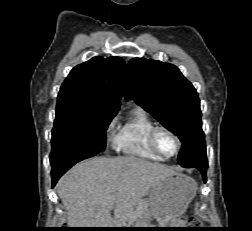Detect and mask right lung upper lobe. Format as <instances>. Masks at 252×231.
<instances>
[{"label":"right lung upper lobe","mask_w":252,"mask_h":231,"mask_svg":"<svg viewBox=\"0 0 252 231\" xmlns=\"http://www.w3.org/2000/svg\"><path fill=\"white\" fill-rule=\"evenodd\" d=\"M124 65L120 57L100 56L77 65L61 86L57 107L77 106L117 113Z\"/></svg>","instance_id":"obj_1"}]
</instances>
